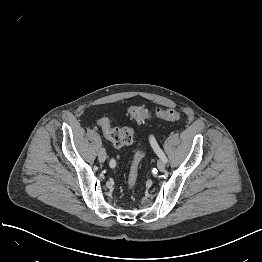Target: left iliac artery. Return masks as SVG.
<instances>
[{"mask_svg": "<svg viewBox=\"0 0 262 262\" xmlns=\"http://www.w3.org/2000/svg\"><path fill=\"white\" fill-rule=\"evenodd\" d=\"M153 150L155 151V153L163 160L167 161V158L165 156V154L163 153V151L161 150V148L159 147V145L157 143H155L153 146Z\"/></svg>", "mask_w": 262, "mask_h": 262, "instance_id": "44dca946", "label": "left iliac artery"}]
</instances>
